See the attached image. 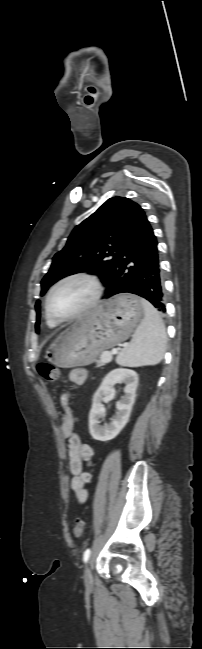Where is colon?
Masks as SVG:
<instances>
[{
	"label": "colon",
	"instance_id": "1",
	"mask_svg": "<svg viewBox=\"0 0 202 649\" xmlns=\"http://www.w3.org/2000/svg\"><path fill=\"white\" fill-rule=\"evenodd\" d=\"M37 371L40 376L47 381H57L60 375L59 369L49 363H40L37 366ZM86 531V524L82 518H78L75 521L73 534L76 538H81Z\"/></svg>",
	"mask_w": 202,
	"mask_h": 649
}]
</instances>
